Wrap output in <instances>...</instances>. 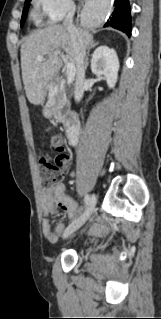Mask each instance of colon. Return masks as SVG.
Wrapping results in <instances>:
<instances>
[{"label":"colon","mask_w":161,"mask_h":319,"mask_svg":"<svg viewBox=\"0 0 161 319\" xmlns=\"http://www.w3.org/2000/svg\"><path fill=\"white\" fill-rule=\"evenodd\" d=\"M51 143L55 148V154L40 159L41 181L45 186L58 183L70 165V156L62 145V138L53 136Z\"/></svg>","instance_id":"colon-1"}]
</instances>
